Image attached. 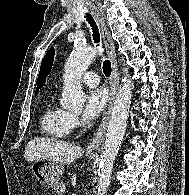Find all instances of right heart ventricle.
I'll return each instance as SVG.
<instances>
[{
	"instance_id": "e07e8e85",
	"label": "right heart ventricle",
	"mask_w": 189,
	"mask_h": 195,
	"mask_svg": "<svg viewBox=\"0 0 189 195\" xmlns=\"http://www.w3.org/2000/svg\"><path fill=\"white\" fill-rule=\"evenodd\" d=\"M69 117L70 113L58 105L53 96H50L40 116L41 133L54 138L66 137L69 133Z\"/></svg>"
}]
</instances>
